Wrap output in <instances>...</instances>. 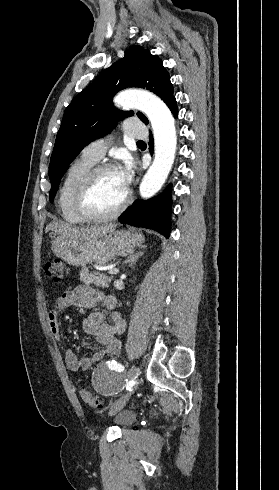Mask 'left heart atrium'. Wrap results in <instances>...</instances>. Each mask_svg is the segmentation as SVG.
Returning a JSON list of instances; mask_svg holds the SVG:
<instances>
[{"label":"left heart atrium","instance_id":"1","mask_svg":"<svg viewBox=\"0 0 279 490\" xmlns=\"http://www.w3.org/2000/svg\"><path fill=\"white\" fill-rule=\"evenodd\" d=\"M119 184L121 189L127 193L132 177H133V165L130 161H126L125 166L117 170Z\"/></svg>","mask_w":279,"mask_h":490}]
</instances>
